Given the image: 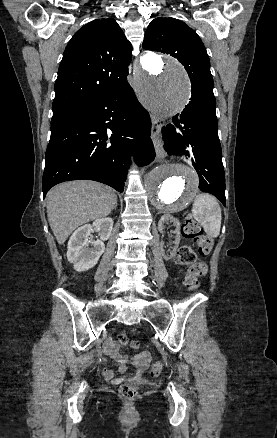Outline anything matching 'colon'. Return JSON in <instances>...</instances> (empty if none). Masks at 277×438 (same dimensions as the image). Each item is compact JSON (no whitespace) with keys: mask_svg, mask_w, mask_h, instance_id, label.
<instances>
[{"mask_svg":"<svg viewBox=\"0 0 277 438\" xmlns=\"http://www.w3.org/2000/svg\"><path fill=\"white\" fill-rule=\"evenodd\" d=\"M182 235L194 242L195 248L190 246H181L177 249L175 253V260L178 264L187 267V275L184 279V284L186 287L194 291L199 288V278L206 275L207 266L204 262L196 260L195 249L202 253H209L213 247L212 240L204 233L203 226L194 220H186L181 225ZM119 343L126 345L130 343L133 348L138 346L135 341H128V338L124 334L118 336ZM162 370V365L156 362L150 371L152 377H157L160 375ZM144 392L142 389H136L131 381H127L125 386H123L118 391V396L123 398L125 402H135L137 398H142Z\"/></svg>","mask_w":277,"mask_h":438,"instance_id":"1","label":"colon"}]
</instances>
